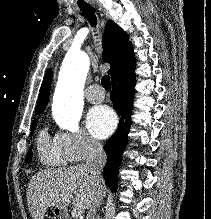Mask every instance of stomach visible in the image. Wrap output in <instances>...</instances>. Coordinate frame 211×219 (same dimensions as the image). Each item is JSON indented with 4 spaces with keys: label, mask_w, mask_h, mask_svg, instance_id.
Masks as SVG:
<instances>
[{
    "label": "stomach",
    "mask_w": 211,
    "mask_h": 219,
    "mask_svg": "<svg viewBox=\"0 0 211 219\" xmlns=\"http://www.w3.org/2000/svg\"><path fill=\"white\" fill-rule=\"evenodd\" d=\"M54 213H55L56 215L62 216V215L64 214V211L61 210V209L56 208L55 211H54Z\"/></svg>",
    "instance_id": "1"
}]
</instances>
